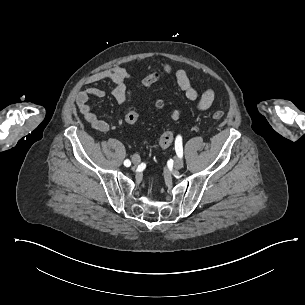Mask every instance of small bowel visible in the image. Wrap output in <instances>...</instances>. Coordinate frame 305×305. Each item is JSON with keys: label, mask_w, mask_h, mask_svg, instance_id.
I'll return each mask as SVG.
<instances>
[{"label": "small bowel", "mask_w": 305, "mask_h": 305, "mask_svg": "<svg viewBox=\"0 0 305 305\" xmlns=\"http://www.w3.org/2000/svg\"><path fill=\"white\" fill-rule=\"evenodd\" d=\"M167 66L172 65L170 63H165L162 68L164 69ZM178 70L181 73V80L178 83L179 87L184 91L189 100L196 102V109L198 111H206L215 101V92L212 89H208L203 93H199L191 84L187 72L184 69ZM130 77V73L125 68L113 66L91 75L88 81L95 83L103 80H111L115 85L112 91L113 97L119 104H127L133 99L132 91L126 85V81L130 79ZM104 95V90L92 87L81 92L76 98L79 112L93 129L100 132H108L110 130V124L93 110L90 100L92 98H101Z\"/></svg>", "instance_id": "obj_1"}]
</instances>
